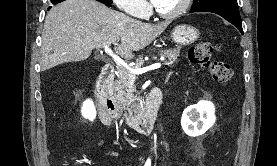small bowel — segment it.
<instances>
[{
	"instance_id": "obj_1",
	"label": "small bowel",
	"mask_w": 277,
	"mask_h": 166,
	"mask_svg": "<svg viewBox=\"0 0 277 166\" xmlns=\"http://www.w3.org/2000/svg\"><path fill=\"white\" fill-rule=\"evenodd\" d=\"M100 116V115H99ZM100 119H101V122L106 126V127H109L110 126V124L107 122V121H105L104 119H102L101 118V116H100ZM104 144V141L103 140H100L99 142H98V146H102ZM117 153L115 152V151H108V152H106V155H116Z\"/></svg>"
}]
</instances>
